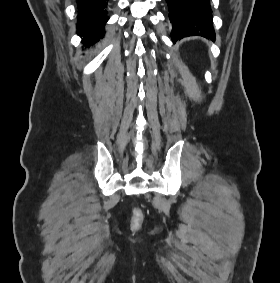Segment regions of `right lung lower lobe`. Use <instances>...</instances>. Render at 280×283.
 <instances>
[{
    "mask_svg": "<svg viewBox=\"0 0 280 283\" xmlns=\"http://www.w3.org/2000/svg\"><path fill=\"white\" fill-rule=\"evenodd\" d=\"M109 0H77V34L83 37L85 47H89L104 37V26L108 21L106 7Z\"/></svg>",
    "mask_w": 280,
    "mask_h": 283,
    "instance_id": "obj_1",
    "label": "right lung lower lobe"
}]
</instances>
